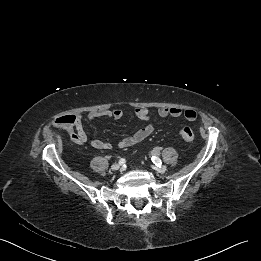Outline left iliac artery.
Here are the masks:
<instances>
[{"label": "left iliac artery", "mask_w": 261, "mask_h": 261, "mask_svg": "<svg viewBox=\"0 0 261 261\" xmlns=\"http://www.w3.org/2000/svg\"><path fill=\"white\" fill-rule=\"evenodd\" d=\"M152 162L156 165V166H161L162 165V161L159 157L157 156H152Z\"/></svg>", "instance_id": "obj_1"}]
</instances>
